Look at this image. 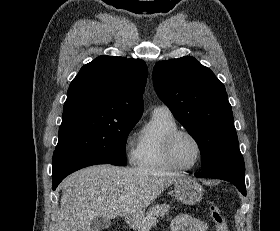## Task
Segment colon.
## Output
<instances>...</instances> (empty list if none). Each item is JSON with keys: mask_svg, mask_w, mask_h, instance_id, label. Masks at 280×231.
Instances as JSON below:
<instances>
[{"mask_svg": "<svg viewBox=\"0 0 280 231\" xmlns=\"http://www.w3.org/2000/svg\"><path fill=\"white\" fill-rule=\"evenodd\" d=\"M209 211H210L211 218L215 224V230L228 231V225L221 210L215 204L210 203Z\"/></svg>", "mask_w": 280, "mask_h": 231, "instance_id": "1", "label": "colon"}]
</instances>
